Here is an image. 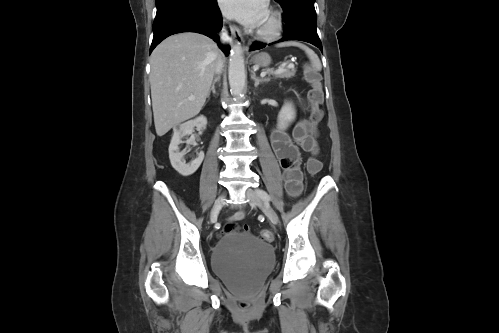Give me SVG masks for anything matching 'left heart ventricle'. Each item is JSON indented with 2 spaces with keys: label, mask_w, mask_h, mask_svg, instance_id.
<instances>
[{
  "label": "left heart ventricle",
  "mask_w": 499,
  "mask_h": 333,
  "mask_svg": "<svg viewBox=\"0 0 499 333\" xmlns=\"http://www.w3.org/2000/svg\"><path fill=\"white\" fill-rule=\"evenodd\" d=\"M269 22V19H268V16L266 15L265 18L263 19V21L261 22L260 26H265L267 25Z\"/></svg>",
  "instance_id": "1"
}]
</instances>
